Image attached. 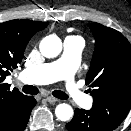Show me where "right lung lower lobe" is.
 Here are the masks:
<instances>
[{
    "label": "right lung lower lobe",
    "instance_id": "98d812e1",
    "mask_svg": "<svg viewBox=\"0 0 131 131\" xmlns=\"http://www.w3.org/2000/svg\"><path fill=\"white\" fill-rule=\"evenodd\" d=\"M35 105L36 100L33 97L28 96L20 106L17 117L15 118L12 126L6 131H24L28 123L30 113Z\"/></svg>",
    "mask_w": 131,
    "mask_h": 131
}]
</instances>
